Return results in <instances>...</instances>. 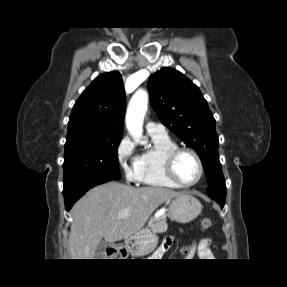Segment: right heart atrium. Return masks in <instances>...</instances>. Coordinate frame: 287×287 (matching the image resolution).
I'll use <instances>...</instances> for the list:
<instances>
[{"mask_svg":"<svg viewBox=\"0 0 287 287\" xmlns=\"http://www.w3.org/2000/svg\"><path fill=\"white\" fill-rule=\"evenodd\" d=\"M116 157L126 179L130 182H138V156L130 137L124 136L120 139L116 147Z\"/></svg>","mask_w":287,"mask_h":287,"instance_id":"1","label":"right heart atrium"}]
</instances>
